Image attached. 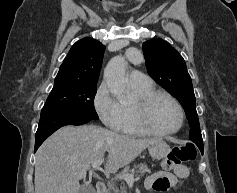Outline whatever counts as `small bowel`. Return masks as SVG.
<instances>
[{
    "label": "small bowel",
    "instance_id": "c3829d8e",
    "mask_svg": "<svg viewBox=\"0 0 237 193\" xmlns=\"http://www.w3.org/2000/svg\"><path fill=\"white\" fill-rule=\"evenodd\" d=\"M190 176L189 167L182 165L172 172L158 171L150 175L145 181V187L158 193H165L170 188L177 189Z\"/></svg>",
    "mask_w": 237,
    "mask_h": 193
}]
</instances>
